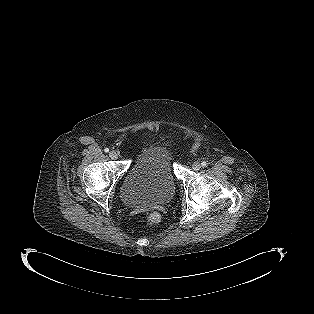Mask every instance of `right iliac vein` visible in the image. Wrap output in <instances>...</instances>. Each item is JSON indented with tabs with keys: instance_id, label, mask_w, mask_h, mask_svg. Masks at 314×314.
<instances>
[{
	"instance_id": "1",
	"label": "right iliac vein",
	"mask_w": 314,
	"mask_h": 314,
	"mask_svg": "<svg viewBox=\"0 0 314 314\" xmlns=\"http://www.w3.org/2000/svg\"><path fill=\"white\" fill-rule=\"evenodd\" d=\"M109 157L111 159H117L118 158V153L116 151H110Z\"/></svg>"
}]
</instances>
